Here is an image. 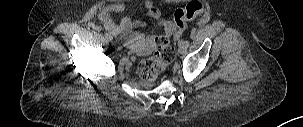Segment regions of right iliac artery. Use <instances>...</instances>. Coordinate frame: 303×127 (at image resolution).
Wrapping results in <instances>:
<instances>
[{
  "label": "right iliac artery",
  "instance_id": "obj_1",
  "mask_svg": "<svg viewBox=\"0 0 303 127\" xmlns=\"http://www.w3.org/2000/svg\"><path fill=\"white\" fill-rule=\"evenodd\" d=\"M97 29H98V30H101V28H100V27H97ZM104 36H105V38H106V39H108V40H112V37L110 36V34H109V33L105 32V33H104Z\"/></svg>",
  "mask_w": 303,
  "mask_h": 127
}]
</instances>
